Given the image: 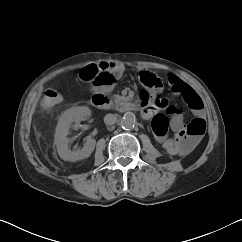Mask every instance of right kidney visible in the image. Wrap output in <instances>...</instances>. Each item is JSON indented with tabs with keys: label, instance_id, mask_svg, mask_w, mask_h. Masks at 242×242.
I'll return each instance as SVG.
<instances>
[{
	"label": "right kidney",
	"instance_id": "1",
	"mask_svg": "<svg viewBox=\"0 0 242 242\" xmlns=\"http://www.w3.org/2000/svg\"><path fill=\"white\" fill-rule=\"evenodd\" d=\"M90 115L91 110L86 106H82L70 108L60 116L56 127L54 143L60 158L64 161L75 162L82 160L88 158L93 152L96 145L95 139L86 138V142L82 149L71 151L68 147L70 139L67 137L73 122L78 124Z\"/></svg>",
	"mask_w": 242,
	"mask_h": 242
}]
</instances>
